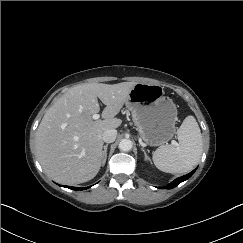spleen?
<instances>
[{"label":"spleen","instance_id":"3e777b00","mask_svg":"<svg viewBox=\"0 0 243 243\" xmlns=\"http://www.w3.org/2000/svg\"><path fill=\"white\" fill-rule=\"evenodd\" d=\"M177 145H162L153 153L155 166L167 173H188L202 155V136L196 119L187 116L182 122Z\"/></svg>","mask_w":243,"mask_h":243}]
</instances>
